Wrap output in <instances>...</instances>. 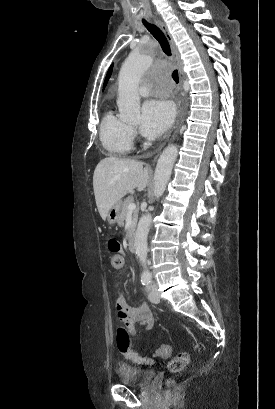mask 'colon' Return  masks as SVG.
<instances>
[{"label": "colon", "mask_w": 275, "mask_h": 409, "mask_svg": "<svg viewBox=\"0 0 275 409\" xmlns=\"http://www.w3.org/2000/svg\"><path fill=\"white\" fill-rule=\"evenodd\" d=\"M107 247L113 253L112 268L114 270H121L123 268V259L121 254H119L121 249L120 242L116 238H110L108 239ZM159 349L160 350L157 351L158 357L168 358L170 356L171 344L169 342H161ZM189 363L190 355L187 352H181L171 358L168 368L171 374H179Z\"/></svg>", "instance_id": "1"}]
</instances>
